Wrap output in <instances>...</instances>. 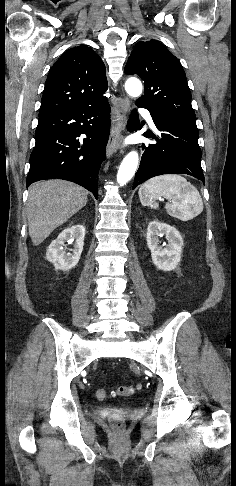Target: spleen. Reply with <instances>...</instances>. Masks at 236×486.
<instances>
[{"mask_svg":"<svg viewBox=\"0 0 236 486\" xmlns=\"http://www.w3.org/2000/svg\"><path fill=\"white\" fill-rule=\"evenodd\" d=\"M139 199L142 205L158 208L156 200L166 198V210L169 215L183 221H188L203 211V201L199 191L184 177L176 174H166L151 178L139 189Z\"/></svg>","mask_w":236,"mask_h":486,"instance_id":"3e777b00","label":"spleen"}]
</instances>
